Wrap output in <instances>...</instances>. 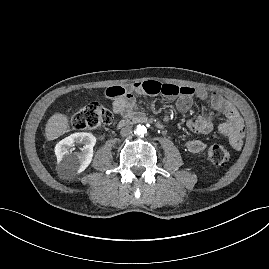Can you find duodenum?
<instances>
[{
  "instance_id": "obj_1",
  "label": "duodenum",
  "mask_w": 269,
  "mask_h": 269,
  "mask_svg": "<svg viewBox=\"0 0 269 269\" xmlns=\"http://www.w3.org/2000/svg\"><path fill=\"white\" fill-rule=\"evenodd\" d=\"M148 121H150V120L144 116H132V117L125 118V119L121 120L118 123V127H124V126L133 125V124L145 123ZM157 126L160 127L159 124H157Z\"/></svg>"
}]
</instances>
